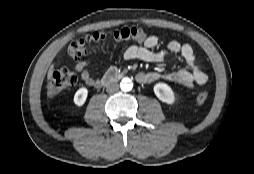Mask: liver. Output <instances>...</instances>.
<instances>
[{"mask_svg":"<svg viewBox=\"0 0 254 174\" xmlns=\"http://www.w3.org/2000/svg\"><path fill=\"white\" fill-rule=\"evenodd\" d=\"M53 71H54V66L52 65L48 71V75H47L48 80L52 78Z\"/></svg>","mask_w":254,"mask_h":174,"instance_id":"6515ba94","label":"liver"}]
</instances>
